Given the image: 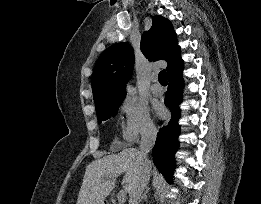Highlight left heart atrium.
Returning <instances> with one entry per match:
<instances>
[{
    "instance_id": "39dd6f15",
    "label": "left heart atrium",
    "mask_w": 261,
    "mask_h": 204,
    "mask_svg": "<svg viewBox=\"0 0 261 204\" xmlns=\"http://www.w3.org/2000/svg\"><path fill=\"white\" fill-rule=\"evenodd\" d=\"M156 110L158 112L159 115H163L164 114V109L162 106H157L156 107Z\"/></svg>"
}]
</instances>
